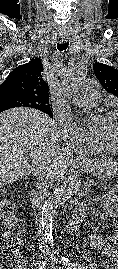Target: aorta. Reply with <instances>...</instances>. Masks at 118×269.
I'll return each instance as SVG.
<instances>
[{"label":"aorta","mask_w":118,"mask_h":269,"mask_svg":"<svg viewBox=\"0 0 118 269\" xmlns=\"http://www.w3.org/2000/svg\"><path fill=\"white\" fill-rule=\"evenodd\" d=\"M86 76L85 65L81 62L73 64L62 77V88L67 95L78 93ZM84 122L89 121L87 113L82 114ZM81 181L77 175H70L54 190L53 194L45 201L41 215V229L50 244L53 245V216L62 201L71 198L80 188Z\"/></svg>","instance_id":"762f6f07"}]
</instances>
